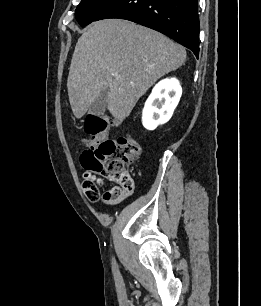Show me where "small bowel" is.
Here are the masks:
<instances>
[{"mask_svg": "<svg viewBox=\"0 0 261 306\" xmlns=\"http://www.w3.org/2000/svg\"><path fill=\"white\" fill-rule=\"evenodd\" d=\"M133 190L132 189H120L117 193V195L111 199L110 201L113 202H121L128 198L130 195H132Z\"/></svg>", "mask_w": 261, "mask_h": 306, "instance_id": "1", "label": "small bowel"}]
</instances>
